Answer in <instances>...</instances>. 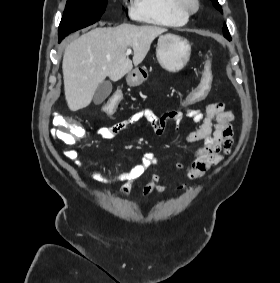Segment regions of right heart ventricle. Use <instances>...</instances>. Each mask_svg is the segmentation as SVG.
<instances>
[{
    "instance_id": "right-heart-ventricle-1",
    "label": "right heart ventricle",
    "mask_w": 280,
    "mask_h": 283,
    "mask_svg": "<svg viewBox=\"0 0 280 283\" xmlns=\"http://www.w3.org/2000/svg\"><path fill=\"white\" fill-rule=\"evenodd\" d=\"M131 16L142 23L165 27L183 26L188 21L178 0H134Z\"/></svg>"
}]
</instances>
